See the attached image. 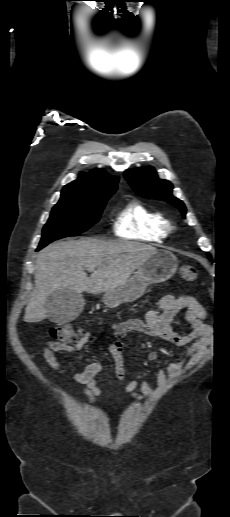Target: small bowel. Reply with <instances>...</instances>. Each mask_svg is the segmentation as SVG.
<instances>
[{
	"label": "small bowel",
	"mask_w": 230,
	"mask_h": 517,
	"mask_svg": "<svg viewBox=\"0 0 230 517\" xmlns=\"http://www.w3.org/2000/svg\"><path fill=\"white\" fill-rule=\"evenodd\" d=\"M185 311V320L191 327L187 334H179L171 327L173 318L180 312ZM205 311L203 306L191 296L175 297L173 295L163 296L158 303V308L147 312L145 319H129L120 323H113L111 330L114 340L109 346L112 355L115 374L119 381L125 380V366L122 356L123 339L132 331L142 332L150 336L160 337L170 343L185 347L183 355L173 361L167 368H160L156 373L157 386L165 385L181 374L196 367L207 355L208 346L212 341L213 331L204 322ZM90 332H83L75 346H68L53 340L46 343L42 351V357L52 369L63 372L58 361V356L64 352H73L82 349L90 339ZM158 354L155 351L149 352L147 359L150 362L156 361ZM67 366L74 373L71 379L80 384L91 402H95L102 395L101 389L96 382V376L102 373L105 366L98 361L90 363L84 368H76L67 362ZM140 389V394L136 393ZM126 392L135 397L148 396L152 387L143 379L135 378L126 384Z\"/></svg>",
	"instance_id": "small-bowel-1"
}]
</instances>
